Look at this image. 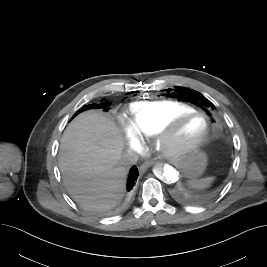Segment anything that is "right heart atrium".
<instances>
[{"instance_id":"obj_1","label":"right heart atrium","mask_w":267,"mask_h":267,"mask_svg":"<svg viewBox=\"0 0 267 267\" xmlns=\"http://www.w3.org/2000/svg\"><path fill=\"white\" fill-rule=\"evenodd\" d=\"M129 148L134 152H138L141 149L140 139L136 136L133 137L130 141Z\"/></svg>"}]
</instances>
